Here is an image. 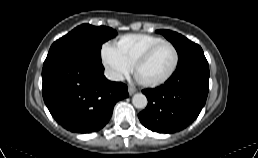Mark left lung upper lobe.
Instances as JSON below:
<instances>
[{
  "label": "left lung upper lobe",
  "instance_id": "1",
  "mask_svg": "<svg viewBox=\"0 0 258 158\" xmlns=\"http://www.w3.org/2000/svg\"><path fill=\"white\" fill-rule=\"evenodd\" d=\"M159 33H161L175 47L178 53V64L183 61L192 50L199 47L198 44L192 42L191 40L177 32L161 29L159 30Z\"/></svg>",
  "mask_w": 258,
  "mask_h": 158
}]
</instances>
